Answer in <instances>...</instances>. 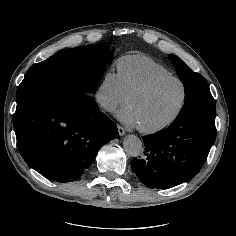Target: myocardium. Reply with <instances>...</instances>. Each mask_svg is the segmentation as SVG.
<instances>
[{"mask_svg":"<svg viewBox=\"0 0 236 236\" xmlns=\"http://www.w3.org/2000/svg\"><path fill=\"white\" fill-rule=\"evenodd\" d=\"M167 81H176L178 82L181 86H182V90H183V94H182V99H181V103L178 107V109L175 111V113L168 118L167 120H165L164 122L157 124L153 127H143L140 125H137V128L139 129V131H141L142 133L145 134H155L158 133L162 130H165L166 128L170 127L173 123L176 122V120L180 117V115L182 114L185 106H186V102H187V98H188V89H187V85L186 83L178 76H162V77H158L153 79L152 81H150L149 83L145 84L144 86H142L141 88L135 90L134 92H132L129 97H128V101L127 104L130 105L131 101L137 97L146 95L147 93H149L150 91H152L154 88H156L158 85L167 82Z\"/></svg>","mask_w":236,"mask_h":236,"instance_id":"1","label":"myocardium"}]
</instances>
